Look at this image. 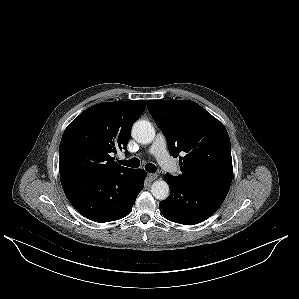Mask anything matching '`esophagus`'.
Segmentation results:
<instances>
[{
  "label": "esophagus",
  "mask_w": 299,
  "mask_h": 299,
  "mask_svg": "<svg viewBox=\"0 0 299 299\" xmlns=\"http://www.w3.org/2000/svg\"><path fill=\"white\" fill-rule=\"evenodd\" d=\"M147 178L150 182L154 181L157 178V174H147Z\"/></svg>",
  "instance_id": "obj_1"
}]
</instances>
